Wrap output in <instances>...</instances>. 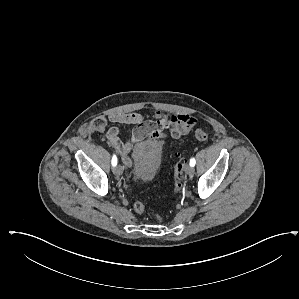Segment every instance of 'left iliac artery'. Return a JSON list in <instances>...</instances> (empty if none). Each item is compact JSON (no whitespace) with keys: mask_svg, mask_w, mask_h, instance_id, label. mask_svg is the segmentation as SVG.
Listing matches in <instances>:
<instances>
[{"mask_svg":"<svg viewBox=\"0 0 299 299\" xmlns=\"http://www.w3.org/2000/svg\"><path fill=\"white\" fill-rule=\"evenodd\" d=\"M195 164H196V160H195V158H191V159H190V165H191L192 167H194Z\"/></svg>","mask_w":299,"mask_h":299,"instance_id":"1","label":"left iliac artery"}]
</instances>
